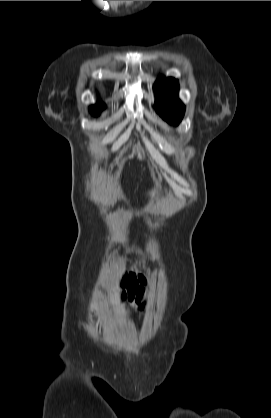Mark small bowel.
Here are the masks:
<instances>
[{
	"instance_id": "1",
	"label": "small bowel",
	"mask_w": 271,
	"mask_h": 418,
	"mask_svg": "<svg viewBox=\"0 0 271 418\" xmlns=\"http://www.w3.org/2000/svg\"><path fill=\"white\" fill-rule=\"evenodd\" d=\"M146 284L147 280L143 276H137L135 274L122 276L119 283V297L127 300L131 304L123 307L125 314H132L134 312L133 306H139L141 309L145 307L146 303L143 298L147 294Z\"/></svg>"
}]
</instances>
